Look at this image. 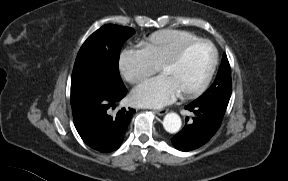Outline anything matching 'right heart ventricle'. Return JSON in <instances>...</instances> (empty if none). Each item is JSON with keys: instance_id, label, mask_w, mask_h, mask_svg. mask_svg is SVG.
<instances>
[{"instance_id": "e07e8e85", "label": "right heart ventricle", "mask_w": 288, "mask_h": 181, "mask_svg": "<svg viewBox=\"0 0 288 181\" xmlns=\"http://www.w3.org/2000/svg\"><path fill=\"white\" fill-rule=\"evenodd\" d=\"M197 39L200 38L188 31L166 29L151 34L148 38L141 41L140 47L149 61L155 67H158L182 46Z\"/></svg>"}]
</instances>
